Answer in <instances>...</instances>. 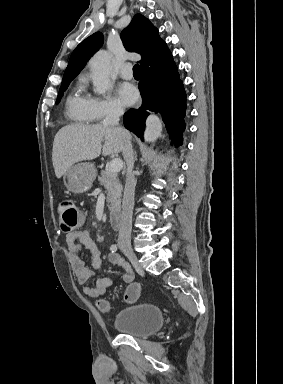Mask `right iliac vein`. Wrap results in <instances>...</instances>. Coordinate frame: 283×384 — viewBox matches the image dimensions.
<instances>
[{"instance_id": "1", "label": "right iliac vein", "mask_w": 283, "mask_h": 384, "mask_svg": "<svg viewBox=\"0 0 283 384\" xmlns=\"http://www.w3.org/2000/svg\"><path fill=\"white\" fill-rule=\"evenodd\" d=\"M121 250L124 253V255L130 260V262L135 267V269L141 275H143L144 274L143 268H142L141 264L139 263L138 258L136 256V254L134 253V251L132 250V248L128 247V246H123V247H121Z\"/></svg>"}]
</instances>
